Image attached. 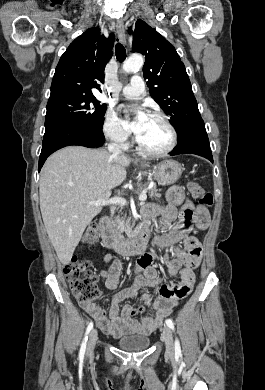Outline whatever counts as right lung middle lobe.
Returning a JSON list of instances; mask_svg holds the SVG:
<instances>
[{
	"instance_id": "dd1d6c3e",
	"label": "right lung middle lobe",
	"mask_w": 265,
	"mask_h": 390,
	"mask_svg": "<svg viewBox=\"0 0 265 390\" xmlns=\"http://www.w3.org/2000/svg\"><path fill=\"white\" fill-rule=\"evenodd\" d=\"M106 109V104H101L93 95H67L48 100L45 119H73L100 129Z\"/></svg>"
}]
</instances>
